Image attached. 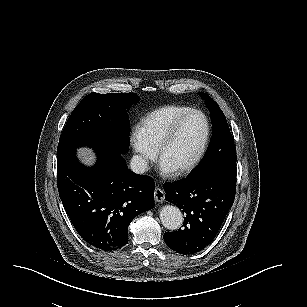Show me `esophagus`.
I'll use <instances>...</instances> for the list:
<instances>
[{
	"label": "esophagus",
	"instance_id": "obj_1",
	"mask_svg": "<svg viewBox=\"0 0 307 307\" xmlns=\"http://www.w3.org/2000/svg\"><path fill=\"white\" fill-rule=\"evenodd\" d=\"M154 196H155L156 202L158 203H162L165 199V194L159 187L155 188Z\"/></svg>",
	"mask_w": 307,
	"mask_h": 307
}]
</instances>
